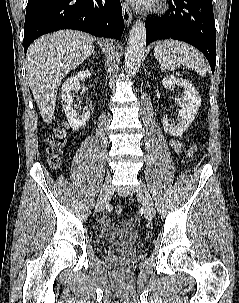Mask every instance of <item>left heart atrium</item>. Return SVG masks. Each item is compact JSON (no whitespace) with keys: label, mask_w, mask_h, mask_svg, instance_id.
Segmentation results:
<instances>
[{"label":"left heart atrium","mask_w":239,"mask_h":303,"mask_svg":"<svg viewBox=\"0 0 239 303\" xmlns=\"http://www.w3.org/2000/svg\"><path fill=\"white\" fill-rule=\"evenodd\" d=\"M134 3H137V4H145L148 0H130Z\"/></svg>","instance_id":"1"}]
</instances>
